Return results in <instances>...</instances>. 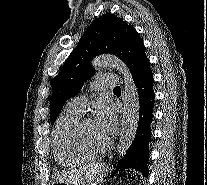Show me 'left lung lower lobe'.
I'll return each instance as SVG.
<instances>
[{
	"label": "left lung lower lobe",
	"mask_w": 207,
	"mask_h": 185,
	"mask_svg": "<svg viewBox=\"0 0 207 185\" xmlns=\"http://www.w3.org/2000/svg\"><path fill=\"white\" fill-rule=\"evenodd\" d=\"M139 96V122L132 145L119 161L118 168H132L148 176L149 142L151 140V121L153 118V75L150 66L133 77Z\"/></svg>",
	"instance_id": "left-lung-lower-lobe-1"
}]
</instances>
